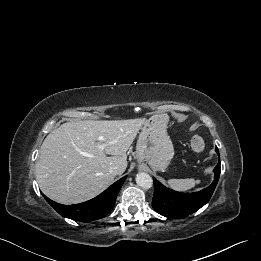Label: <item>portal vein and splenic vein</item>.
Wrapping results in <instances>:
<instances>
[{"label":"portal vein and splenic vein","instance_id":"18ae733b","mask_svg":"<svg viewBox=\"0 0 261 261\" xmlns=\"http://www.w3.org/2000/svg\"><path fill=\"white\" fill-rule=\"evenodd\" d=\"M100 140H102V138H100ZM114 142H110V144H113ZM97 147L100 149V150H103L104 149V145L101 144V143H97Z\"/></svg>","mask_w":261,"mask_h":261}]
</instances>
